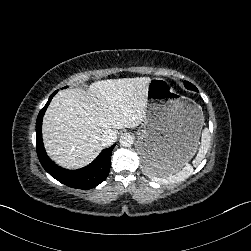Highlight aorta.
<instances>
[{
    "mask_svg": "<svg viewBox=\"0 0 251 251\" xmlns=\"http://www.w3.org/2000/svg\"><path fill=\"white\" fill-rule=\"evenodd\" d=\"M119 142L123 147H130L134 143V137L129 133H124L121 135Z\"/></svg>",
    "mask_w": 251,
    "mask_h": 251,
    "instance_id": "aorta-1",
    "label": "aorta"
}]
</instances>
